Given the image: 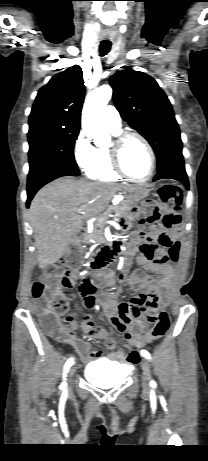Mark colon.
Instances as JSON below:
<instances>
[{
    "label": "colon",
    "instance_id": "obj_1",
    "mask_svg": "<svg viewBox=\"0 0 208 461\" xmlns=\"http://www.w3.org/2000/svg\"><path fill=\"white\" fill-rule=\"evenodd\" d=\"M158 195V200L151 199L144 202L142 209L144 220L155 224L158 228L171 229L181 221L179 209L182 203V190L174 184H164L160 187ZM133 241L139 244L140 251H166L145 240L141 234L134 235ZM73 286L74 280H68L64 270L56 265L46 267L41 278L33 283L32 297L36 302L38 315L45 332L52 338L62 336L58 321L59 314L72 313V308L63 301L62 295ZM169 327V315L166 312L160 313L151 323L149 335L142 340H128L126 349L138 354L145 343L162 338Z\"/></svg>",
    "mask_w": 208,
    "mask_h": 461
}]
</instances>
